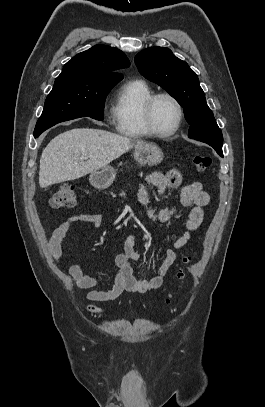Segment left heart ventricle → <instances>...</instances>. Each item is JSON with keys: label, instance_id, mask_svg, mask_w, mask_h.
<instances>
[{"label": "left heart ventricle", "instance_id": "1", "mask_svg": "<svg viewBox=\"0 0 265 407\" xmlns=\"http://www.w3.org/2000/svg\"><path fill=\"white\" fill-rule=\"evenodd\" d=\"M178 110L176 105L168 98H160L153 109V121L160 131L170 130L177 122Z\"/></svg>", "mask_w": 265, "mask_h": 407}]
</instances>
